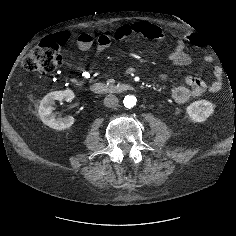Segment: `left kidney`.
I'll return each mask as SVG.
<instances>
[{
  "label": "left kidney",
  "instance_id": "5707ae66",
  "mask_svg": "<svg viewBox=\"0 0 236 236\" xmlns=\"http://www.w3.org/2000/svg\"><path fill=\"white\" fill-rule=\"evenodd\" d=\"M186 112L194 122H204L214 112V105L207 100H198L191 103Z\"/></svg>",
  "mask_w": 236,
  "mask_h": 236
}]
</instances>
